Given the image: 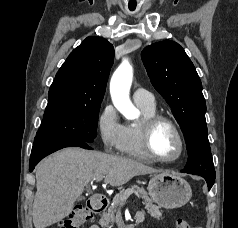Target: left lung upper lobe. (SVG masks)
<instances>
[{"mask_svg": "<svg viewBox=\"0 0 238 228\" xmlns=\"http://www.w3.org/2000/svg\"><path fill=\"white\" fill-rule=\"evenodd\" d=\"M142 61L154 88L171 107L184 134L187 172L215 177L205 119L206 103L196 69L176 42L164 40L143 49Z\"/></svg>", "mask_w": 238, "mask_h": 228, "instance_id": "obj_1", "label": "left lung upper lobe"}]
</instances>
